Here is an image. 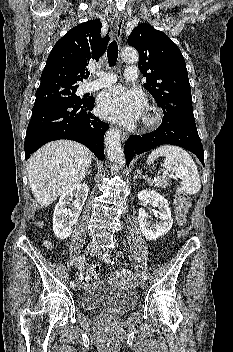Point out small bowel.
Masks as SVG:
<instances>
[{
    "label": "small bowel",
    "instance_id": "small-bowel-1",
    "mask_svg": "<svg viewBox=\"0 0 233 352\" xmlns=\"http://www.w3.org/2000/svg\"><path fill=\"white\" fill-rule=\"evenodd\" d=\"M77 279L79 280L80 283L84 282V272H83V266L81 265L79 267V270L76 274Z\"/></svg>",
    "mask_w": 233,
    "mask_h": 352
}]
</instances>
